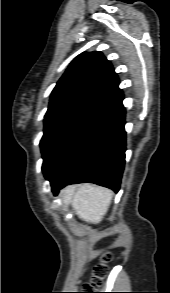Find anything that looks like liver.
<instances>
[{
    "mask_svg": "<svg viewBox=\"0 0 170 293\" xmlns=\"http://www.w3.org/2000/svg\"><path fill=\"white\" fill-rule=\"evenodd\" d=\"M113 192L92 184L67 186L61 191L64 204H71L76 215L91 224H98L108 211Z\"/></svg>",
    "mask_w": 170,
    "mask_h": 293,
    "instance_id": "6515ba94",
    "label": "liver"
}]
</instances>
